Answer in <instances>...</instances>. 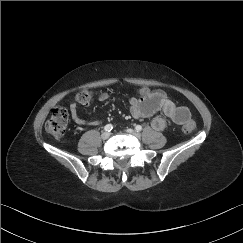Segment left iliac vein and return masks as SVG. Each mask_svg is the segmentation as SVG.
<instances>
[{
	"instance_id": "1",
	"label": "left iliac vein",
	"mask_w": 243,
	"mask_h": 243,
	"mask_svg": "<svg viewBox=\"0 0 243 243\" xmlns=\"http://www.w3.org/2000/svg\"><path fill=\"white\" fill-rule=\"evenodd\" d=\"M127 132H128L129 134H131L132 136H134V137H140V133L137 132V131H135V130L128 129Z\"/></svg>"
}]
</instances>
